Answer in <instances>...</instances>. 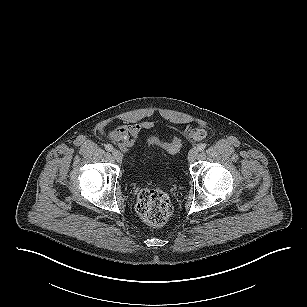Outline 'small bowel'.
Wrapping results in <instances>:
<instances>
[{
    "label": "small bowel",
    "instance_id": "small-bowel-1",
    "mask_svg": "<svg viewBox=\"0 0 307 307\" xmlns=\"http://www.w3.org/2000/svg\"><path fill=\"white\" fill-rule=\"evenodd\" d=\"M154 123L151 121H142L133 124H122L112 130L109 134L110 138L118 144L120 149L128 154L130 148L134 145L139 134L144 129H151Z\"/></svg>",
    "mask_w": 307,
    "mask_h": 307
}]
</instances>
